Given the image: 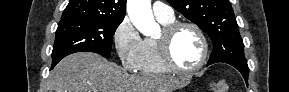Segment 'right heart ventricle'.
Returning a JSON list of instances; mask_svg holds the SVG:
<instances>
[{
  "instance_id": "right-heart-ventricle-1",
  "label": "right heart ventricle",
  "mask_w": 289,
  "mask_h": 92,
  "mask_svg": "<svg viewBox=\"0 0 289 92\" xmlns=\"http://www.w3.org/2000/svg\"><path fill=\"white\" fill-rule=\"evenodd\" d=\"M157 20L163 26H166L174 22V17L170 19L157 18ZM137 70L145 74H165L169 72L160 58L156 39L146 38L143 40V55Z\"/></svg>"
}]
</instances>
